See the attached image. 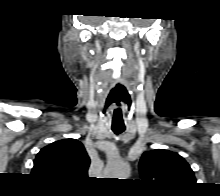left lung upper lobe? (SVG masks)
<instances>
[{
    "label": "left lung upper lobe",
    "mask_w": 220,
    "mask_h": 196,
    "mask_svg": "<svg viewBox=\"0 0 220 196\" xmlns=\"http://www.w3.org/2000/svg\"><path fill=\"white\" fill-rule=\"evenodd\" d=\"M139 169L142 180L162 192L179 193L196 183L189 164L177 153L164 149L145 152Z\"/></svg>",
    "instance_id": "obj_1"
}]
</instances>
